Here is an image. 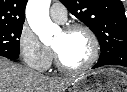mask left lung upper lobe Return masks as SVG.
<instances>
[{
  "label": "left lung upper lobe",
  "mask_w": 127,
  "mask_h": 92,
  "mask_svg": "<svg viewBox=\"0 0 127 92\" xmlns=\"http://www.w3.org/2000/svg\"><path fill=\"white\" fill-rule=\"evenodd\" d=\"M96 35L101 55L115 47L127 46V18L120 0H60Z\"/></svg>",
  "instance_id": "left-lung-upper-lobe-1"
}]
</instances>
